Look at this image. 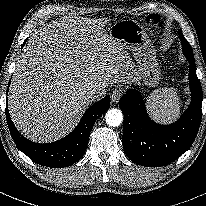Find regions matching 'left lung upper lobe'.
Here are the masks:
<instances>
[{
    "mask_svg": "<svg viewBox=\"0 0 206 206\" xmlns=\"http://www.w3.org/2000/svg\"><path fill=\"white\" fill-rule=\"evenodd\" d=\"M181 42H182L183 48H186L187 50L192 52V48H191L190 44L188 43V41L185 38L181 39Z\"/></svg>",
    "mask_w": 206,
    "mask_h": 206,
    "instance_id": "obj_1",
    "label": "left lung upper lobe"
}]
</instances>
